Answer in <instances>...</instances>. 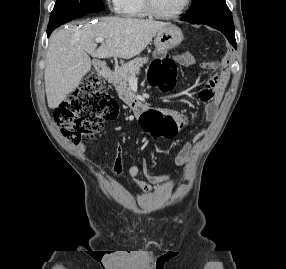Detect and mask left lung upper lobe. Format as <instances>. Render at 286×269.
Masks as SVG:
<instances>
[{
    "label": "left lung upper lobe",
    "mask_w": 286,
    "mask_h": 269,
    "mask_svg": "<svg viewBox=\"0 0 286 269\" xmlns=\"http://www.w3.org/2000/svg\"><path fill=\"white\" fill-rule=\"evenodd\" d=\"M188 15L181 20L192 24H213L234 29L231 11L225 0H192Z\"/></svg>",
    "instance_id": "1"
}]
</instances>
